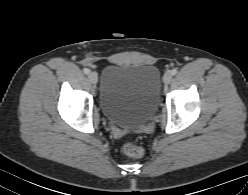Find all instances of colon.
Segmentation results:
<instances>
[{"label": "colon", "mask_w": 248, "mask_h": 195, "mask_svg": "<svg viewBox=\"0 0 248 195\" xmlns=\"http://www.w3.org/2000/svg\"><path fill=\"white\" fill-rule=\"evenodd\" d=\"M122 151L129 157H139L142 155L143 150L134 138H127L123 145Z\"/></svg>", "instance_id": "colon-1"}]
</instances>
